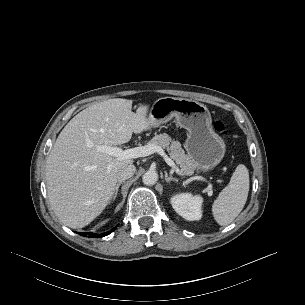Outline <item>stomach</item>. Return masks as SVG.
<instances>
[{"mask_svg":"<svg viewBox=\"0 0 305 305\" xmlns=\"http://www.w3.org/2000/svg\"><path fill=\"white\" fill-rule=\"evenodd\" d=\"M172 118L188 131L185 149L198 170H212L221 162L226 145L214 132L211 114L204 104L185 98H160L150 107L149 129L159 127Z\"/></svg>","mask_w":305,"mask_h":305,"instance_id":"1","label":"stomach"}]
</instances>
